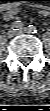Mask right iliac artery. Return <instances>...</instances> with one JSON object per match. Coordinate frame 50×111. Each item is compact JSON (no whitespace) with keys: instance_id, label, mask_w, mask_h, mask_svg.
<instances>
[{"instance_id":"right-iliac-artery-1","label":"right iliac artery","mask_w":50,"mask_h":111,"mask_svg":"<svg viewBox=\"0 0 50 111\" xmlns=\"http://www.w3.org/2000/svg\"><path fill=\"white\" fill-rule=\"evenodd\" d=\"M23 23L21 21H15L11 24L12 30H19L23 27Z\"/></svg>"}]
</instances>
